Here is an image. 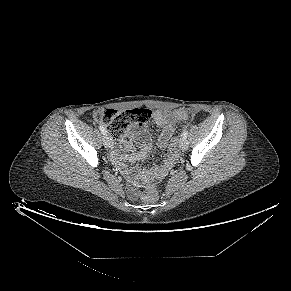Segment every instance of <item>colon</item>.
Instances as JSON below:
<instances>
[{
    "mask_svg": "<svg viewBox=\"0 0 291 291\" xmlns=\"http://www.w3.org/2000/svg\"><path fill=\"white\" fill-rule=\"evenodd\" d=\"M173 118L185 120L192 116L190 110H177L173 113ZM151 117V111L145 108H135L131 110H107L95 115L96 120L101 121L107 128L113 139L131 147L130 132L137 125L145 124ZM142 197L148 202H155L158 199V192L155 187L147 188Z\"/></svg>",
    "mask_w": 291,
    "mask_h": 291,
    "instance_id": "colon-1",
    "label": "colon"
}]
</instances>
